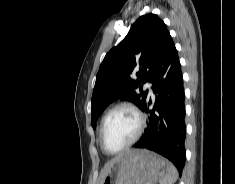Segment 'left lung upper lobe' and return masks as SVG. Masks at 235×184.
I'll list each match as a JSON object with an SVG mask.
<instances>
[{
    "label": "left lung upper lobe",
    "instance_id": "left-lung-upper-lobe-1",
    "mask_svg": "<svg viewBox=\"0 0 235 184\" xmlns=\"http://www.w3.org/2000/svg\"><path fill=\"white\" fill-rule=\"evenodd\" d=\"M169 35L157 15L146 14L139 17L126 37L106 54L92 94L93 127L103 110L116 99L129 100L142 108L147 91L142 92L141 84L150 80L160 48ZM132 75L137 79H132Z\"/></svg>",
    "mask_w": 235,
    "mask_h": 184
}]
</instances>
